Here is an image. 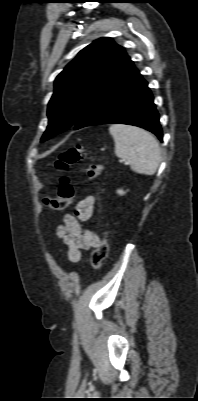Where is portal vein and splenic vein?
<instances>
[{
	"label": "portal vein and splenic vein",
	"mask_w": 198,
	"mask_h": 401,
	"mask_svg": "<svg viewBox=\"0 0 198 401\" xmlns=\"http://www.w3.org/2000/svg\"><path fill=\"white\" fill-rule=\"evenodd\" d=\"M124 161H125L124 159H121V160H120V162H124Z\"/></svg>",
	"instance_id": "obj_1"
}]
</instances>
